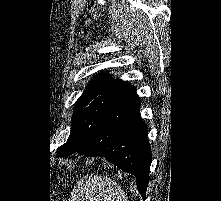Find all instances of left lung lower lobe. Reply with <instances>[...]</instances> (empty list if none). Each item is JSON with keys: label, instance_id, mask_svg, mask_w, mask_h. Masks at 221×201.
Returning a JSON list of instances; mask_svg holds the SVG:
<instances>
[{"label": "left lung lower lobe", "instance_id": "1", "mask_svg": "<svg viewBox=\"0 0 221 201\" xmlns=\"http://www.w3.org/2000/svg\"><path fill=\"white\" fill-rule=\"evenodd\" d=\"M139 109L140 98L134 92L107 113L77 152L87 157H105L122 171L133 174L145 201L152 155Z\"/></svg>", "mask_w": 221, "mask_h": 201}]
</instances>
